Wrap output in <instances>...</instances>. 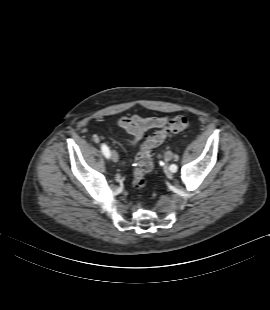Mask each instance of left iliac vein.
Listing matches in <instances>:
<instances>
[{"label": "left iliac vein", "mask_w": 270, "mask_h": 310, "mask_svg": "<svg viewBox=\"0 0 270 310\" xmlns=\"http://www.w3.org/2000/svg\"><path fill=\"white\" fill-rule=\"evenodd\" d=\"M173 157V153L171 151H167L164 155L166 161H170Z\"/></svg>", "instance_id": "1"}]
</instances>
